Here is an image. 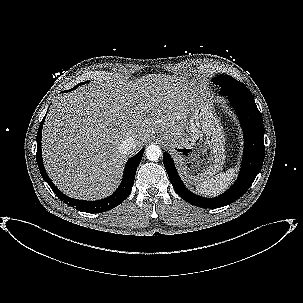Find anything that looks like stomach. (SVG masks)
Returning <instances> with one entry per match:
<instances>
[{
  "instance_id": "obj_1",
  "label": "stomach",
  "mask_w": 303,
  "mask_h": 303,
  "mask_svg": "<svg viewBox=\"0 0 303 303\" xmlns=\"http://www.w3.org/2000/svg\"><path fill=\"white\" fill-rule=\"evenodd\" d=\"M189 84L196 87L193 80ZM186 132L173 135L160 133L168 143L183 178L189 183L208 179L222 169L225 163V137L213 108L205 99L193 107Z\"/></svg>"
}]
</instances>
